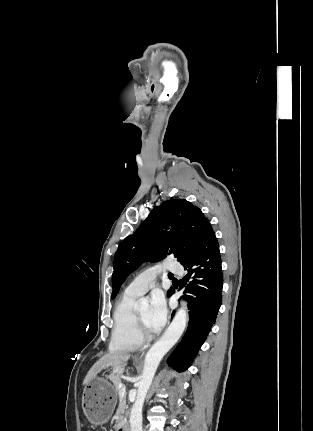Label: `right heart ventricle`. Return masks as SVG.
<instances>
[{
  "label": "right heart ventricle",
  "mask_w": 313,
  "mask_h": 431,
  "mask_svg": "<svg viewBox=\"0 0 313 431\" xmlns=\"http://www.w3.org/2000/svg\"><path fill=\"white\" fill-rule=\"evenodd\" d=\"M137 297L124 293L115 305L110 342L113 351H133L142 343L136 335L135 328L134 303Z\"/></svg>",
  "instance_id": "obj_1"
}]
</instances>
